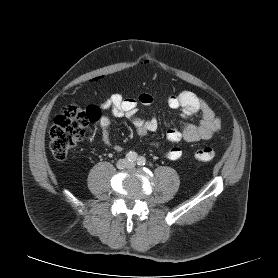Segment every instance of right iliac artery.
Returning a JSON list of instances; mask_svg holds the SVG:
<instances>
[{
  "label": "right iliac artery",
  "instance_id": "1",
  "mask_svg": "<svg viewBox=\"0 0 278 278\" xmlns=\"http://www.w3.org/2000/svg\"><path fill=\"white\" fill-rule=\"evenodd\" d=\"M126 159L129 162H135L137 160V153L130 151L129 153L126 154Z\"/></svg>",
  "mask_w": 278,
  "mask_h": 278
}]
</instances>
